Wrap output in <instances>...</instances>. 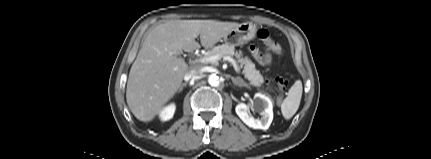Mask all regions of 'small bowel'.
I'll return each instance as SVG.
<instances>
[{
	"mask_svg": "<svg viewBox=\"0 0 431 159\" xmlns=\"http://www.w3.org/2000/svg\"><path fill=\"white\" fill-rule=\"evenodd\" d=\"M274 53L279 54L281 49L279 45L275 44L273 47H270ZM251 52L253 56L261 63V64H268L270 62L269 56H263L256 48L252 47Z\"/></svg>",
	"mask_w": 431,
	"mask_h": 159,
	"instance_id": "c3829d8e",
	"label": "small bowel"
}]
</instances>
